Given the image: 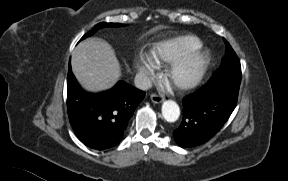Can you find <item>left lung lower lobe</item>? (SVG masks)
<instances>
[{
    "label": "left lung lower lobe",
    "mask_w": 288,
    "mask_h": 181,
    "mask_svg": "<svg viewBox=\"0 0 288 181\" xmlns=\"http://www.w3.org/2000/svg\"><path fill=\"white\" fill-rule=\"evenodd\" d=\"M239 90L209 85L183 99V120L173 132L181 147H194L211 139L233 112Z\"/></svg>",
    "instance_id": "0a47b994"
}]
</instances>
